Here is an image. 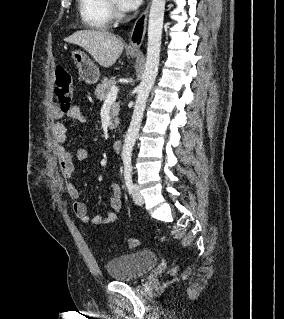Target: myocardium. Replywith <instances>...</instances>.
Wrapping results in <instances>:
<instances>
[{
	"label": "myocardium",
	"instance_id": "1",
	"mask_svg": "<svg viewBox=\"0 0 284 319\" xmlns=\"http://www.w3.org/2000/svg\"><path fill=\"white\" fill-rule=\"evenodd\" d=\"M108 1V5L110 7V10L112 12V14L115 16V17H121L122 16V13L121 11L116 7V4L114 3L113 0H107Z\"/></svg>",
	"mask_w": 284,
	"mask_h": 319
}]
</instances>
